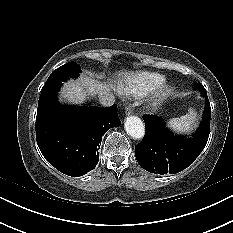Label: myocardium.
I'll return each instance as SVG.
<instances>
[{
    "label": "myocardium",
    "mask_w": 233,
    "mask_h": 233,
    "mask_svg": "<svg viewBox=\"0 0 233 233\" xmlns=\"http://www.w3.org/2000/svg\"><path fill=\"white\" fill-rule=\"evenodd\" d=\"M172 89L167 84H161L158 86L152 93L150 97V105L151 107H156L162 104L170 95Z\"/></svg>",
    "instance_id": "1"
}]
</instances>
